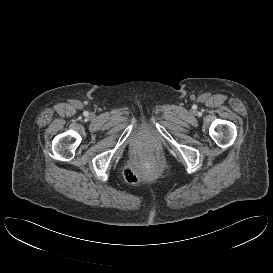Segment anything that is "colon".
<instances>
[{
	"label": "colon",
	"instance_id": "obj_1",
	"mask_svg": "<svg viewBox=\"0 0 273 273\" xmlns=\"http://www.w3.org/2000/svg\"><path fill=\"white\" fill-rule=\"evenodd\" d=\"M144 164L149 170H154L156 168V166H157V163H156L155 159L152 158V157L146 158L144 160ZM124 177L130 183H136L138 181L137 174L130 167H127L124 170Z\"/></svg>",
	"mask_w": 273,
	"mask_h": 273
}]
</instances>
